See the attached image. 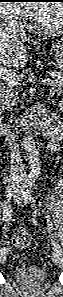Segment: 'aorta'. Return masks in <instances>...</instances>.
<instances>
[{"mask_svg":"<svg viewBox=\"0 0 63 297\" xmlns=\"http://www.w3.org/2000/svg\"><path fill=\"white\" fill-rule=\"evenodd\" d=\"M24 147L27 152V157L29 164L35 168L38 165V158L36 154V147L34 142V137L31 128L27 127L25 132V142Z\"/></svg>","mask_w":63,"mask_h":297,"instance_id":"762f6f07","label":"aorta"}]
</instances>
